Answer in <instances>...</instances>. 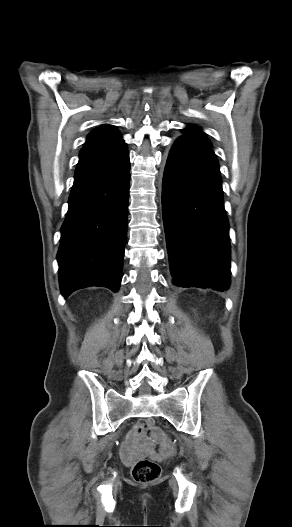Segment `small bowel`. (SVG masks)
<instances>
[{"instance_id":"1","label":"small bowel","mask_w":292,"mask_h":527,"mask_svg":"<svg viewBox=\"0 0 292 527\" xmlns=\"http://www.w3.org/2000/svg\"><path fill=\"white\" fill-rule=\"evenodd\" d=\"M156 435L159 437V449L155 450L153 445L144 437V431L141 425L135 426L126 436L120 448V454L125 461L124 466L127 469L132 468L133 461L144 457L146 454L152 456L154 463H159L161 458L168 457L172 453V447L163 435L164 430L161 427L156 428Z\"/></svg>"}]
</instances>
